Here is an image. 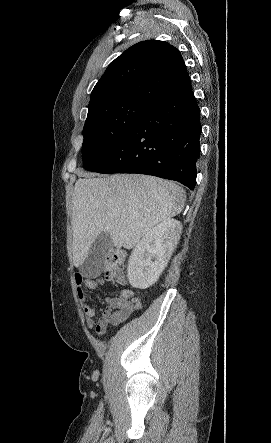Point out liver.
Instances as JSON below:
<instances>
[{"label": "liver", "mask_w": 271, "mask_h": 443, "mask_svg": "<svg viewBox=\"0 0 271 443\" xmlns=\"http://www.w3.org/2000/svg\"><path fill=\"white\" fill-rule=\"evenodd\" d=\"M72 198L73 263H84L93 241L109 233L115 247H134L153 225L182 212L185 190L142 174H78Z\"/></svg>", "instance_id": "liver-1"}]
</instances>
